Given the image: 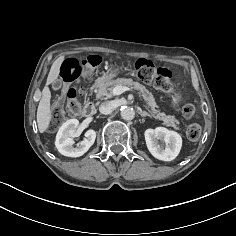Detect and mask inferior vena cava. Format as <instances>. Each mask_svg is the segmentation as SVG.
I'll use <instances>...</instances> for the list:
<instances>
[{"instance_id":"1","label":"inferior vena cava","mask_w":236,"mask_h":236,"mask_svg":"<svg viewBox=\"0 0 236 236\" xmlns=\"http://www.w3.org/2000/svg\"><path fill=\"white\" fill-rule=\"evenodd\" d=\"M113 109H114V106H113L112 102H103L99 106L100 113L104 114V115L112 113Z\"/></svg>"}]
</instances>
